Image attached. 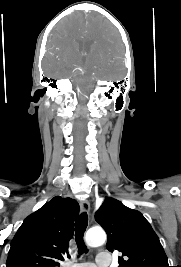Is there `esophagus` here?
<instances>
[{
  "instance_id": "1",
  "label": "esophagus",
  "mask_w": 181,
  "mask_h": 267,
  "mask_svg": "<svg viewBox=\"0 0 181 267\" xmlns=\"http://www.w3.org/2000/svg\"><path fill=\"white\" fill-rule=\"evenodd\" d=\"M80 208L83 212H86L87 214H89L90 212V203L88 200H82L80 201Z\"/></svg>"
}]
</instances>
